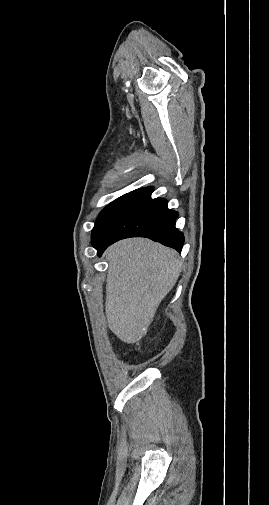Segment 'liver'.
<instances>
[{
	"mask_svg": "<svg viewBox=\"0 0 269 505\" xmlns=\"http://www.w3.org/2000/svg\"><path fill=\"white\" fill-rule=\"evenodd\" d=\"M104 255L109 262L105 303L108 326L122 341L139 342L180 275L179 256L175 250L145 238L121 240Z\"/></svg>",
	"mask_w": 269,
	"mask_h": 505,
	"instance_id": "liver-1",
	"label": "liver"
}]
</instances>
